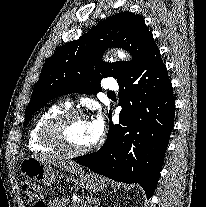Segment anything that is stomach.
Returning <instances> with one entry per match:
<instances>
[{
  "label": "stomach",
  "mask_w": 206,
  "mask_h": 207,
  "mask_svg": "<svg viewBox=\"0 0 206 207\" xmlns=\"http://www.w3.org/2000/svg\"><path fill=\"white\" fill-rule=\"evenodd\" d=\"M19 168L24 177L47 186L52 185L58 176L56 166L33 157L24 158ZM74 182L77 187L89 192H99L106 187L104 180L95 174L84 171L76 174Z\"/></svg>",
  "instance_id": "1"
}]
</instances>
